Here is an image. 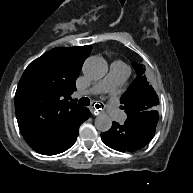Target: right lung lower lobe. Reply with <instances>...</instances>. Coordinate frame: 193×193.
Masks as SVG:
<instances>
[{
    "label": "right lung lower lobe",
    "mask_w": 193,
    "mask_h": 193,
    "mask_svg": "<svg viewBox=\"0 0 193 193\" xmlns=\"http://www.w3.org/2000/svg\"><path fill=\"white\" fill-rule=\"evenodd\" d=\"M90 117V112L87 108L83 115L73 124V126L57 141L38 147H34L33 150L43 155H55L69 149L76 141L79 126Z\"/></svg>",
    "instance_id": "98d812e1"
}]
</instances>
